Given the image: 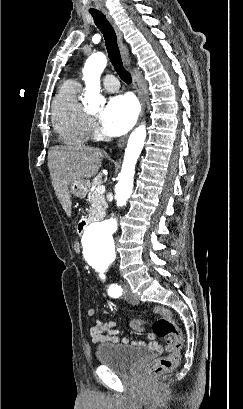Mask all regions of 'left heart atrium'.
Masks as SVG:
<instances>
[{
    "mask_svg": "<svg viewBox=\"0 0 243 409\" xmlns=\"http://www.w3.org/2000/svg\"><path fill=\"white\" fill-rule=\"evenodd\" d=\"M137 113V105L131 96L111 97L99 116L102 131L109 136L124 134L134 125Z\"/></svg>",
    "mask_w": 243,
    "mask_h": 409,
    "instance_id": "left-heart-atrium-1",
    "label": "left heart atrium"
}]
</instances>
